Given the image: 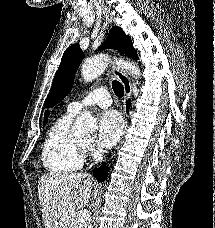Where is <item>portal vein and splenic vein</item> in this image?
Segmentation results:
<instances>
[{
    "instance_id": "18ae733b",
    "label": "portal vein and splenic vein",
    "mask_w": 215,
    "mask_h": 228,
    "mask_svg": "<svg viewBox=\"0 0 215 228\" xmlns=\"http://www.w3.org/2000/svg\"><path fill=\"white\" fill-rule=\"evenodd\" d=\"M89 218V212H86V210H81L78 214V220L79 222H85V220H88Z\"/></svg>"
}]
</instances>
